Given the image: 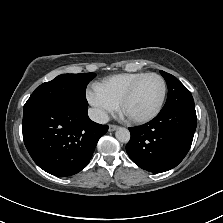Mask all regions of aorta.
<instances>
[{
  "instance_id": "obj_1",
  "label": "aorta",
  "mask_w": 223,
  "mask_h": 223,
  "mask_svg": "<svg viewBox=\"0 0 223 223\" xmlns=\"http://www.w3.org/2000/svg\"><path fill=\"white\" fill-rule=\"evenodd\" d=\"M117 140L122 143H127L130 140V132L128 129L119 127L115 133Z\"/></svg>"
}]
</instances>
